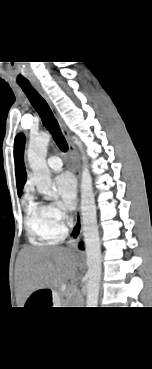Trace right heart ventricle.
Masks as SVG:
<instances>
[{"label":"right heart ventricle","instance_id":"obj_1","mask_svg":"<svg viewBox=\"0 0 152 369\" xmlns=\"http://www.w3.org/2000/svg\"><path fill=\"white\" fill-rule=\"evenodd\" d=\"M25 226L30 241L34 245L56 241L64 233H58L53 229L46 217L43 206L31 197L26 198Z\"/></svg>","mask_w":152,"mask_h":369}]
</instances>
